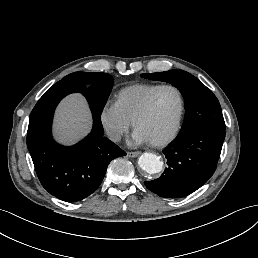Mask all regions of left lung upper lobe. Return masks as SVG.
<instances>
[{
  "label": "left lung upper lobe",
  "mask_w": 258,
  "mask_h": 258,
  "mask_svg": "<svg viewBox=\"0 0 258 258\" xmlns=\"http://www.w3.org/2000/svg\"><path fill=\"white\" fill-rule=\"evenodd\" d=\"M151 80L171 83L183 95L186 114L177 138L184 137L204 127L226 129L218 99L200 80L183 70H170L141 75Z\"/></svg>",
  "instance_id": "left-lung-upper-lobe-1"
}]
</instances>
